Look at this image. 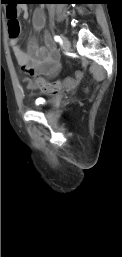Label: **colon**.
I'll list each match as a JSON object with an SVG mask.
<instances>
[{
	"label": "colon",
	"instance_id": "obj_1",
	"mask_svg": "<svg viewBox=\"0 0 122 257\" xmlns=\"http://www.w3.org/2000/svg\"><path fill=\"white\" fill-rule=\"evenodd\" d=\"M4 10H8V29L11 37H17L20 33V24L17 19V5H4ZM82 70H74V75H77V79H84L85 75L82 74ZM31 86H36L46 93L58 92L61 88L60 81L46 82L40 78L36 79L35 84Z\"/></svg>",
	"mask_w": 122,
	"mask_h": 257
}]
</instances>
